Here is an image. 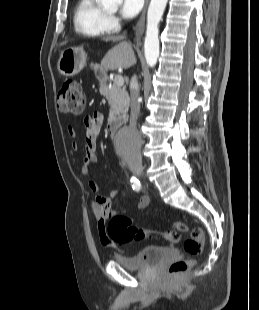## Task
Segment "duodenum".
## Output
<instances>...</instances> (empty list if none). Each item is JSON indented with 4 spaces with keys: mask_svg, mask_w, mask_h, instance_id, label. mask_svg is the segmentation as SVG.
I'll use <instances>...</instances> for the list:
<instances>
[{
    "mask_svg": "<svg viewBox=\"0 0 259 310\" xmlns=\"http://www.w3.org/2000/svg\"><path fill=\"white\" fill-rule=\"evenodd\" d=\"M103 78V76H102ZM107 128H108V132H109V135L110 136H115L116 135V132H117V123L113 120H111L108 125H107Z\"/></svg>",
    "mask_w": 259,
    "mask_h": 310,
    "instance_id": "duodenum-1",
    "label": "duodenum"
}]
</instances>
